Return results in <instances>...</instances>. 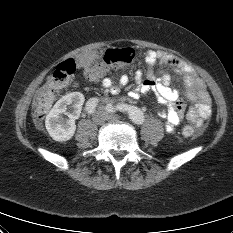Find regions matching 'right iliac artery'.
<instances>
[{
  "label": "right iliac artery",
  "instance_id": "right-iliac-artery-1",
  "mask_svg": "<svg viewBox=\"0 0 233 233\" xmlns=\"http://www.w3.org/2000/svg\"><path fill=\"white\" fill-rule=\"evenodd\" d=\"M99 99L98 98H91L86 103V111L90 114L94 113L97 105H98Z\"/></svg>",
  "mask_w": 233,
  "mask_h": 233
}]
</instances>
